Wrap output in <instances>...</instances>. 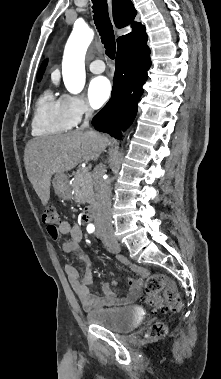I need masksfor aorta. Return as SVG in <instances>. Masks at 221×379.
<instances>
[{"instance_id":"1","label":"aorta","mask_w":221,"mask_h":379,"mask_svg":"<svg viewBox=\"0 0 221 379\" xmlns=\"http://www.w3.org/2000/svg\"><path fill=\"white\" fill-rule=\"evenodd\" d=\"M94 32L88 26L74 27L64 50L62 61L63 81L72 94L80 93L85 85V54Z\"/></svg>"}]
</instances>
